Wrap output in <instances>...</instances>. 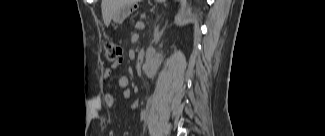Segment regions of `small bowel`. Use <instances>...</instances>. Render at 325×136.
I'll list each match as a JSON object with an SVG mask.
<instances>
[{
	"label": "small bowel",
	"instance_id": "obj_1",
	"mask_svg": "<svg viewBox=\"0 0 325 136\" xmlns=\"http://www.w3.org/2000/svg\"><path fill=\"white\" fill-rule=\"evenodd\" d=\"M120 65L119 62H115L112 64L111 69H106L103 73V78L108 80L112 77V69L117 68ZM118 86L121 89L122 95L125 99H129L132 95V92L129 88V78L126 75H121L117 80ZM104 102L108 107H112L115 105V97L111 93H106L104 95ZM139 105L138 101L132 104L133 108H137Z\"/></svg>",
	"mask_w": 325,
	"mask_h": 136
}]
</instances>
